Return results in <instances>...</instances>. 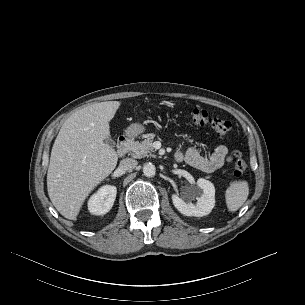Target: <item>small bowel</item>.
<instances>
[{
	"label": "small bowel",
	"instance_id": "small-bowel-1",
	"mask_svg": "<svg viewBox=\"0 0 305 305\" xmlns=\"http://www.w3.org/2000/svg\"><path fill=\"white\" fill-rule=\"evenodd\" d=\"M173 157L176 162L185 161L189 165L207 173L214 172L231 161L228 148L225 145L217 146L210 155H205L196 148L189 147L185 152L176 150Z\"/></svg>",
	"mask_w": 305,
	"mask_h": 305
}]
</instances>
